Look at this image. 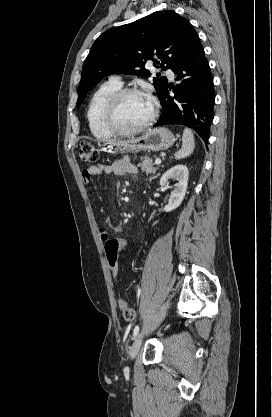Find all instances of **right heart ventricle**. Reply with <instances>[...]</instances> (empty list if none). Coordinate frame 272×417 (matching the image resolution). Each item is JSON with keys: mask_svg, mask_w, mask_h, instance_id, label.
<instances>
[{"mask_svg": "<svg viewBox=\"0 0 272 417\" xmlns=\"http://www.w3.org/2000/svg\"><path fill=\"white\" fill-rule=\"evenodd\" d=\"M121 88V82L110 79L102 83L90 98L87 108V120L92 134L98 139H109L113 135L104 125L103 114L110 97Z\"/></svg>", "mask_w": 272, "mask_h": 417, "instance_id": "e07e8e85", "label": "right heart ventricle"}]
</instances>
